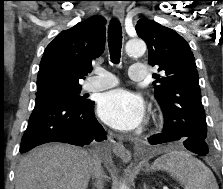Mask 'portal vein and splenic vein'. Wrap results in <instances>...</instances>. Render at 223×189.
Instances as JSON below:
<instances>
[{
	"label": "portal vein and splenic vein",
	"instance_id": "1",
	"mask_svg": "<svg viewBox=\"0 0 223 189\" xmlns=\"http://www.w3.org/2000/svg\"><path fill=\"white\" fill-rule=\"evenodd\" d=\"M163 189H168V187L165 186V187H163Z\"/></svg>",
	"mask_w": 223,
	"mask_h": 189
}]
</instances>
